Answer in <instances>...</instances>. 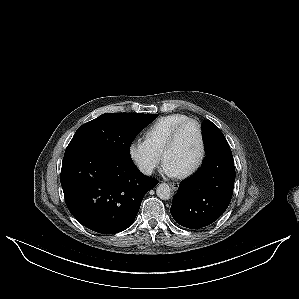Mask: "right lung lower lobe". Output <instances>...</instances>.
<instances>
[{
	"instance_id": "98d812e1",
	"label": "right lung lower lobe",
	"mask_w": 299,
	"mask_h": 299,
	"mask_svg": "<svg viewBox=\"0 0 299 299\" xmlns=\"http://www.w3.org/2000/svg\"><path fill=\"white\" fill-rule=\"evenodd\" d=\"M60 179L71 214L103 234L131 226L144 195L159 182L143 175L131 158L94 147L68 149Z\"/></svg>"
}]
</instances>
